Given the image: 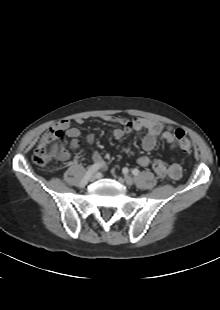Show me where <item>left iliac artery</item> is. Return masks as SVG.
<instances>
[{"instance_id": "1", "label": "left iliac artery", "mask_w": 220, "mask_h": 310, "mask_svg": "<svg viewBox=\"0 0 220 310\" xmlns=\"http://www.w3.org/2000/svg\"><path fill=\"white\" fill-rule=\"evenodd\" d=\"M133 175L137 176L139 174V170L138 169H133L132 170Z\"/></svg>"}]
</instances>
